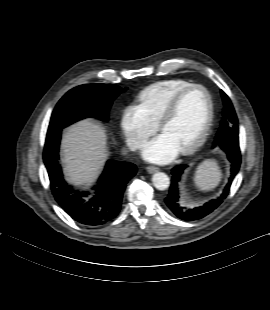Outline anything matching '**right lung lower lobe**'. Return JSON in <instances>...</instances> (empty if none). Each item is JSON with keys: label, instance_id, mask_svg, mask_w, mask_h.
Returning a JSON list of instances; mask_svg holds the SVG:
<instances>
[{"label": "right lung lower lobe", "instance_id": "98d812e1", "mask_svg": "<svg viewBox=\"0 0 270 310\" xmlns=\"http://www.w3.org/2000/svg\"><path fill=\"white\" fill-rule=\"evenodd\" d=\"M62 128H49L44 148V162L50 179V188L58 204L77 222L85 225H102L119 212L127 182L137 168L129 162L109 160L102 176L92 188L94 197L75 190L63 178L58 164V149Z\"/></svg>", "mask_w": 270, "mask_h": 310}]
</instances>
